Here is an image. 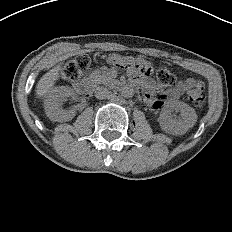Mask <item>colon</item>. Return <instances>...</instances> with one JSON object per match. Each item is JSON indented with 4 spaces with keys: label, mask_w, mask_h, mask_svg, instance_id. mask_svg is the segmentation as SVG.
<instances>
[{
    "label": "colon",
    "mask_w": 232,
    "mask_h": 232,
    "mask_svg": "<svg viewBox=\"0 0 232 232\" xmlns=\"http://www.w3.org/2000/svg\"><path fill=\"white\" fill-rule=\"evenodd\" d=\"M91 60L86 55H81L68 61L60 71V78L73 81L80 78L90 68ZM175 83L173 73L167 68L157 72V87L161 92L169 90ZM187 97L195 106L201 107L205 101L204 86L200 81L190 80L186 83Z\"/></svg>",
    "instance_id": "colon-1"
}]
</instances>
